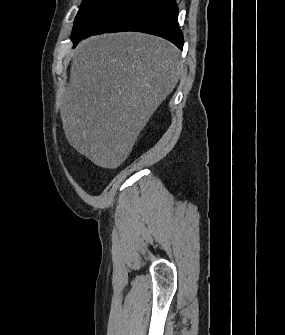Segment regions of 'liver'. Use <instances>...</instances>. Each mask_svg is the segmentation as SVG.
<instances>
[{"label":"liver","mask_w":285,"mask_h":335,"mask_svg":"<svg viewBox=\"0 0 285 335\" xmlns=\"http://www.w3.org/2000/svg\"><path fill=\"white\" fill-rule=\"evenodd\" d=\"M181 70L179 50L156 36L121 32L82 40L61 100L66 140L96 166L118 168Z\"/></svg>","instance_id":"6515ba94"}]
</instances>
